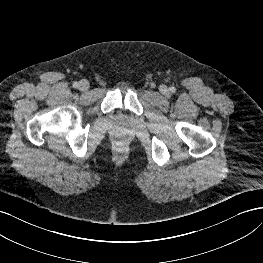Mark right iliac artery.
Segmentation results:
<instances>
[{"label":"right iliac artery","mask_w":263,"mask_h":263,"mask_svg":"<svg viewBox=\"0 0 263 263\" xmlns=\"http://www.w3.org/2000/svg\"><path fill=\"white\" fill-rule=\"evenodd\" d=\"M73 87H74V88H78V87H79V83H78V82H74V83H73Z\"/></svg>","instance_id":"1"}]
</instances>
